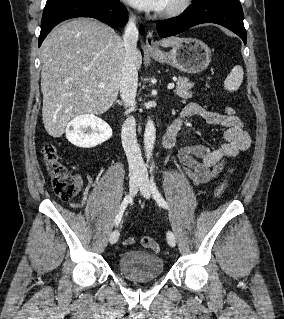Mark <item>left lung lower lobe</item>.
<instances>
[{
    "label": "left lung lower lobe",
    "instance_id": "1",
    "mask_svg": "<svg viewBox=\"0 0 284 319\" xmlns=\"http://www.w3.org/2000/svg\"><path fill=\"white\" fill-rule=\"evenodd\" d=\"M202 23L224 26L237 34L246 44L247 34L239 0H193V4L180 16L158 21L156 26L159 35L164 38Z\"/></svg>",
    "mask_w": 284,
    "mask_h": 319
}]
</instances>
